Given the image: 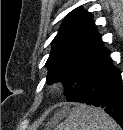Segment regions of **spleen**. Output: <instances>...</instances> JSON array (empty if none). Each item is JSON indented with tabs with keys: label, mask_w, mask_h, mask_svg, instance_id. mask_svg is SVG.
<instances>
[{
	"label": "spleen",
	"mask_w": 123,
	"mask_h": 130,
	"mask_svg": "<svg viewBox=\"0 0 123 130\" xmlns=\"http://www.w3.org/2000/svg\"><path fill=\"white\" fill-rule=\"evenodd\" d=\"M56 130H119V126L102 109L78 104Z\"/></svg>",
	"instance_id": "obj_1"
}]
</instances>
